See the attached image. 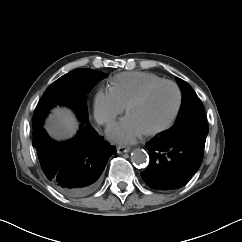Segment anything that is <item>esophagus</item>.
Returning a JSON list of instances; mask_svg holds the SVG:
<instances>
[{
    "mask_svg": "<svg viewBox=\"0 0 242 242\" xmlns=\"http://www.w3.org/2000/svg\"><path fill=\"white\" fill-rule=\"evenodd\" d=\"M131 149L130 147H126V146H118L117 147V153L121 154V153H127L129 152Z\"/></svg>",
    "mask_w": 242,
    "mask_h": 242,
    "instance_id": "esophagus-1",
    "label": "esophagus"
}]
</instances>
